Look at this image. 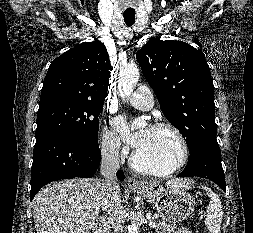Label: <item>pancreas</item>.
<instances>
[{
    "mask_svg": "<svg viewBox=\"0 0 253 233\" xmlns=\"http://www.w3.org/2000/svg\"><path fill=\"white\" fill-rule=\"evenodd\" d=\"M157 227H156V232L157 233H173L176 225L172 224H161L160 222L156 221Z\"/></svg>",
    "mask_w": 253,
    "mask_h": 233,
    "instance_id": "1",
    "label": "pancreas"
}]
</instances>
